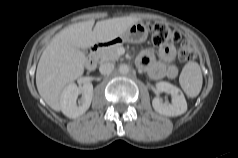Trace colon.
<instances>
[{
    "label": "colon",
    "instance_id": "5ec220e1",
    "mask_svg": "<svg viewBox=\"0 0 238 158\" xmlns=\"http://www.w3.org/2000/svg\"><path fill=\"white\" fill-rule=\"evenodd\" d=\"M150 29L154 45L164 46L170 43H177L179 44L178 59L181 62H189L196 58L194 48L182 38L179 31L161 22L152 24Z\"/></svg>",
    "mask_w": 238,
    "mask_h": 158
}]
</instances>
